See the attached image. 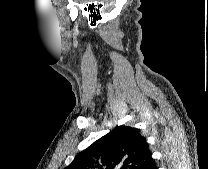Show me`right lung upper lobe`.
Masks as SVG:
<instances>
[{
	"instance_id": "right-lung-upper-lobe-1",
	"label": "right lung upper lobe",
	"mask_w": 208,
	"mask_h": 169,
	"mask_svg": "<svg viewBox=\"0 0 208 169\" xmlns=\"http://www.w3.org/2000/svg\"><path fill=\"white\" fill-rule=\"evenodd\" d=\"M151 159L138 129L122 125L78 153L64 169H144Z\"/></svg>"
}]
</instances>
